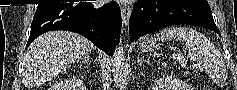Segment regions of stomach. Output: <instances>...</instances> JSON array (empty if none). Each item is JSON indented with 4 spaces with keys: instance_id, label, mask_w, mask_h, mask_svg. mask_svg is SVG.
<instances>
[{
    "instance_id": "obj_1",
    "label": "stomach",
    "mask_w": 237,
    "mask_h": 90,
    "mask_svg": "<svg viewBox=\"0 0 237 90\" xmlns=\"http://www.w3.org/2000/svg\"><path fill=\"white\" fill-rule=\"evenodd\" d=\"M155 41L152 40V39H149V38H146L144 39L142 42H141V50L143 52H149V51H152L154 48H155Z\"/></svg>"
}]
</instances>
